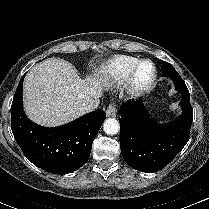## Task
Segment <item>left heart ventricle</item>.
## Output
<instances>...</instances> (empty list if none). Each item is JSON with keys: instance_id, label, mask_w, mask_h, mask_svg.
<instances>
[{"instance_id": "1", "label": "left heart ventricle", "mask_w": 209, "mask_h": 209, "mask_svg": "<svg viewBox=\"0 0 209 209\" xmlns=\"http://www.w3.org/2000/svg\"><path fill=\"white\" fill-rule=\"evenodd\" d=\"M152 74H153L152 65L149 63H145L141 66L138 77L140 81H147L152 77Z\"/></svg>"}]
</instances>
